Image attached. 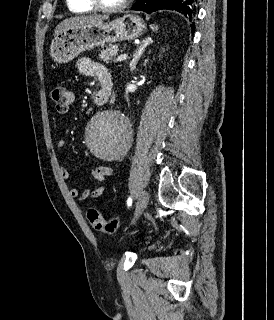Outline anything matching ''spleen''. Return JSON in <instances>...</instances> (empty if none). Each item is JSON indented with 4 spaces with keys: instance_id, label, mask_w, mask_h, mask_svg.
Masks as SVG:
<instances>
[{
    "instance_id": "1",
    "label": "spleen",
    "mask_w": 274,
    "mask_h": 320,
    "mask_svg": "<svg viewBox=\"0 0 274 320\" xmlns=\"http://www.w3.org/2000/svg\"><path fill=\"white\" fill-rule=\"evenodd\" d=\"M150 28H151V30H153V32H154V30H157V26H154V24H151Z\"/></svg>"
}]
</instances>
